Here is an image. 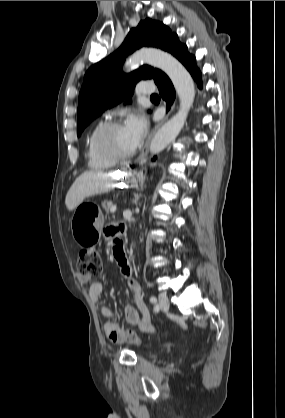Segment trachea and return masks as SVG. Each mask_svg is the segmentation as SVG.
Listing matches in <instances>:
<instances>
[{
    "mask_svg": "<svg viewBox=\"0 0 285 418\" xmlns=\"http://www.w3.org/2000/svg\"><path fill=\"white\" fill-rule=\"evenodd\" d=\"M151 98H158V95L153 94L151 95Z\"/></svg>",
    "mask_w": 285,
    "mask_h": 418,
    "instance_id": "3493384b",
    "label": "trachea"
}]
</instances>
